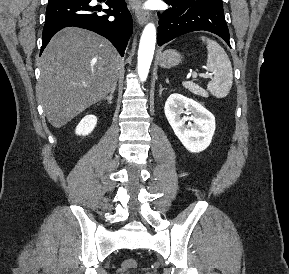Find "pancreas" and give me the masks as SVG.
<instances>
[{"mask_svg":"<svg viewBox=\"0 0 289 274\" xmlns=\"http://www.w3.org/2000/svg\"><path fill=\"white\" fill-rule=\"evenodd\" d=\"M184 87L196 95H199L202 97H208V93L195 83H185Z\"/></svg>","mask_w":289,"mask_h":274,"instance_id":"pancreas-1","label":"pancreas"}]
</instances>
